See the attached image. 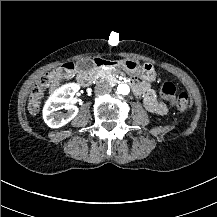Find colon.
<instances>
[{
	"instance_id": "1",
	"label": "colon",
	"mask_w": 217,
	"mask_h": 217,
	"mask_svg": "<svg viewBox=\"0 0 217 217\" xmlns=\"http://www.w3.org/2000/svg\"><path fill=\"white\" fill-rule=\"evenodd\" d=\"M161 92L164 96L174 99V107L180 111L185 112L190 106V97L187 93L177 94V87L172 82H165L161 87ZM42 95V88L35 86L28 100V111L30 114H37Z\"/></svg>"
}]
</instances>
